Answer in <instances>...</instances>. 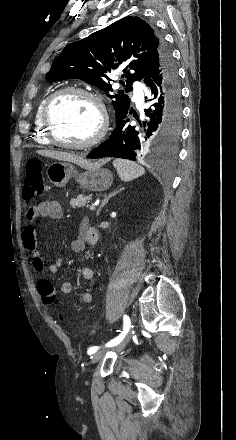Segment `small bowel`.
Here are the masks:
<instances>
[{"mask_svg":"<svg viewBox=\"0 0 236 440\" xmlns=\"http://www.w3.org/2000/svg\"><path fill=\"white\" fill-rule=\"evenodd\" d=\"M41 217L59 219L62 217V208L58 201L53 199L42 200L36 205L31 206L26 214L24 228L22 231V243L24 248L31 253L32 265L37 273L46 271L55 274L62 265V259L57 258L48 266L45 265L42 255L37 249V230L35 222ZM98 240L97 231L90 225L88 219H83L79 226L78 235L72 240L70 248L74 252H81L87 245H93ZM81 275L84 279H91L93 269L91 266H83ZM74 285L71 281H65L61 285V291L69 294L73 291ZM79 300L83 304H89L92 301V294L88 291L80 293Z\"/></svg>","mask_w":236,"mask_h":440,"instance_id":"c3829d8e","label":"small bowel"}]
</instances>
